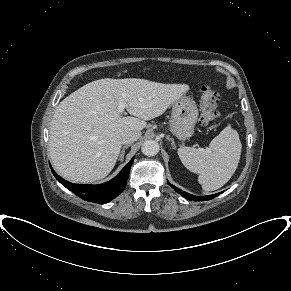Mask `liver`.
I'll return each mask as SVG.
<instances>
[{
    "mask_svg": "<svg viewBox=\"0 0 291 291\" xmlns=\"http://www.w3.org/2000/svg\"><path fill=\"white\" fill-rule=\"evenodd\" d=\"M188 90L137 78H105L79 88L60 102L51 121L49 154L56 171L77 183L103 179L118 159L121 135L141 132ZM122 103L135 117L122 116Z\"/></svg>",
    "mask_w": 291,
    "mask_h": 291,
    "instance_id": "obj_1",
    "label": "liver"
}]
</instances>
